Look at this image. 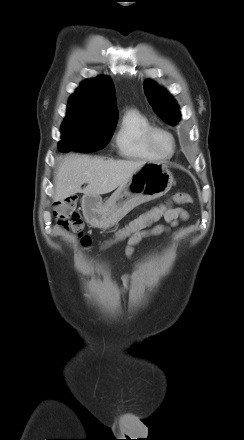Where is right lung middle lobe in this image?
<instances>
[{
	"instance_id": "dd1d6c3e",
	"label": "right lung middle lobe",
	"mask_w": 244,
	"mask_h": 440,
	"mask_svg": "<svg viewBox=\"0 0 244 440\" xmlns=\"http://www.w3.org/2000/svg\"><path fill=\"white\" fill-rule=\"evenodd\" d=\"M116 123L96 124L86 121H65L61 127L62 140L58 143L60 152H94L105 147L110 140Z\"/></svg>"
}]
</instances>
